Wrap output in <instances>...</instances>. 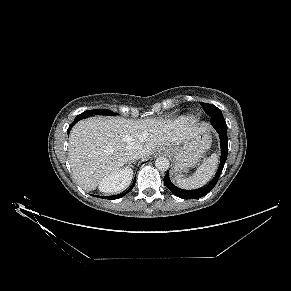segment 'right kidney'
Returning a JSON list of instances; mask_svg holds the SVG:
<instances>
[{
  "label": "right kidney",
  "instance_id": "obj_1",
  "mask_svg": "<svg viewBox=\"0 0 291 291\" xmlns=\"http://www.w3.org/2000/svg\"><path fill=\"white\" fill-rule=\"evenodd\" d=\"M132 177V170L124 168L116 171L102 179L99 190L104 193L120 192Z\"/></svg>",
  "mask_w": 291,
  "mask_h": 291
}]
</instances>
